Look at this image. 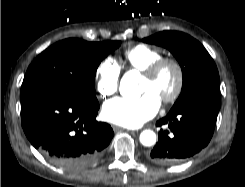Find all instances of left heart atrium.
Here are the masks:
<instances>
[{
  "label": "left heart atrium",
  "instance_id": "1",
  "mask_svg": "<svg viewBox=\"0 0 245 187\" xmlns=\"http://www.w3.org/2000/svg\"><path fill=\"white\" fill-rule=\"evenodd\" d=\"M161 99L153 91H145L137 99L116 98L104 104L103 118L116 125L136 128L158 112Z\"/></svg>",
  "mask_w": 245,
  "mask_h": 187
}]
</instances>
